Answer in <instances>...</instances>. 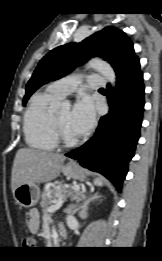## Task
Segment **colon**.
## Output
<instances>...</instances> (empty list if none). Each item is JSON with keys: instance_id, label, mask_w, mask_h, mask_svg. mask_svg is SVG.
<instances>
[{"instance_id": "colon-1", "label": "colon", "mask_w": 162, "mask_h": 261, "mask_svg": "<svg viewBox=\"0 0 162 261\" xmlns=\"http://www.w3.org/2000/svg\"><path fill=\"white\" fill-rule=\"evenodd\" d=\"M24 247H34L36 245V242L32 238H27L23 242Z\"/></svg>"}]
</instances>
